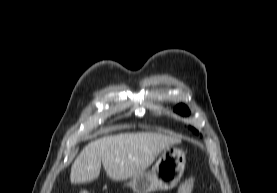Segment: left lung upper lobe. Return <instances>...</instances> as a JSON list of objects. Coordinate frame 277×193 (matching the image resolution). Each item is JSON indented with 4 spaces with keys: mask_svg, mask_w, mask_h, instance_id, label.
<instances>
[{
    "mask_svg": "<svg viewBox=\"0 0 277 193\" xmlns=\"http://www.w3.org/2000/svg\"><path fill=\"white\" fill-rule=\"evenodd\" d=\"M175 111L180 113L181 115H189V109L183 104L176 106ZM192 130L194 133L199 134L196 129L192 128Z\"/></svg>",
    "mask_w": 277,
    "mask_h": 193,
    "instance_id": "left-lung-upper-lobe-1",
    "label": "left lung upper lobe"
}]
</instances>
